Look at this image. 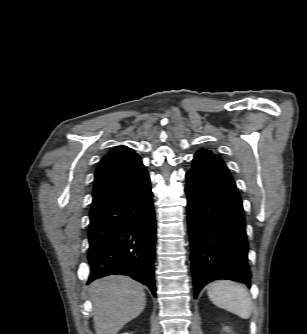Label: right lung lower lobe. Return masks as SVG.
I'll use <instances>...</instances> for the list:
<instances>
[{
    "label": "right lung lower lobe",
    "mask_w": 307,
    "mask_h": 334,
    "mask_svg": "<svg viewBox=\"0 0 307 334\" xmlns=\"http://www.w3.org/2000/svg\"><path fill=\"white\" fill-rule=\"evenodd\" d=\"M155 214L150 179L90 213L88 283L111 274L130 276L156 296L154 283Z\"/></svg>",
    "instance_id": "obj_1"
}]
</instances>
